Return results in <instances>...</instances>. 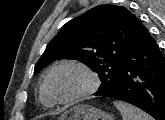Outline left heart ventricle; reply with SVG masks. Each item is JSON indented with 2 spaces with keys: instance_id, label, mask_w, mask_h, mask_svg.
<instances>
[{
  "instance_id": "obj_1",
  "label": "left heart ventricle",
  "mask_w": 165,
  "mask_h": 120,
  "mask_svg": "<svg viewBox=\"0 0 165 120\" xmlns=\"http://www.w3.org/2000/svg\"><path fill=\"white\" fill-rule=\"evenodd\" d=\"M88 83V77L81 70L64 67L52 75L49 85L57 98L65 99L85 89Z\"/></svg>"
}]
</instances>
